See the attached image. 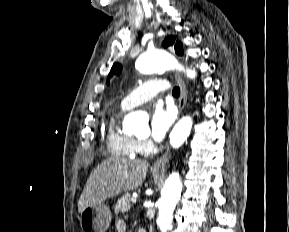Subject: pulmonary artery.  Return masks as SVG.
I'll return each instance as SVG.
<instances>
[{
  "label": "pulmonary artery",
  "mask_w": 289,
  "mask_h": 232,
  "mask_svg": "<svg viewBox=\"0 0 289 232\" xmlns=\"http://www.w3.org/2000/svg\"><path fill=\"white\" fill-rule=\"evenodd\" d=\"M167 89L168 83L165 80H149L130 92L122 100L121 105L126 109H132L139 104L149 101Z\"/></svg>",
  "instance_id": "pulmonary-artery-1"
}]
</instances>
